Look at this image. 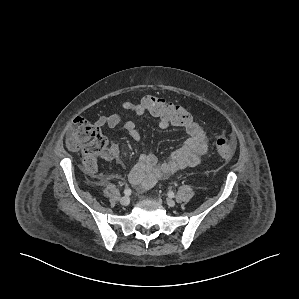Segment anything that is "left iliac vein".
Masks as SVG:
<instances>
[{"mask_svg":"<svg viewBox=\"0 0 299 299\" xmlns=\"http://www.w3.org/2000/svg\"><path fill=\"white\" fill-rule=\"evenodd\" d=\"M167 204H168V206L173 207V206H175V201L173 199L168 198Z\"/></svg>","mask_w":299,"mask_h":299,"instance_id":"4c4485c4","label":"left iliac vein"}]
</instances>
